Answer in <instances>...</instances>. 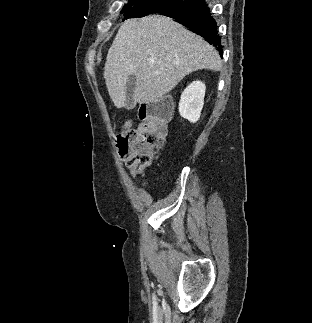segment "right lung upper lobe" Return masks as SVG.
Masks as SVG:
<instances>
[{
    "label": "right lung upper lobe",
    "instance_id": "obj_1",
    "mask_svg": "<svg viewBox=\"0 0 312 323\" xmlns=\"http://www.w3.org/2000/svg\"><path fill=\"white\" fill-rule=\"evenodd\" d=\"M171 11H168V12H165L164 14H166V13H170Z\"/></svg>",
    "mask_w": 312,
    "mask_h": 323
}]
</instances>
